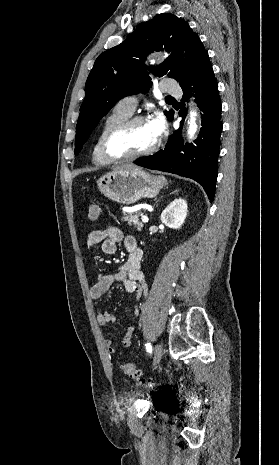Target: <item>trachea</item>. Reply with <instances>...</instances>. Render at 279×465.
Listing matches in <instances>:
<instances>
[{"mask_svg":"<svg viewBox=\"0 0 279 465\" xmlns=\"http://www.w3.org/2000/svg\"><path fill=\"white\" fill-rule=\"evenodd\" d=\"M166 99L170 100V99H173V97H171V96H168Z\"/></svg>","mask_w":279,"mask_h":465,"instance_id":"obj_1","label":"trachea"}]
</instances>
